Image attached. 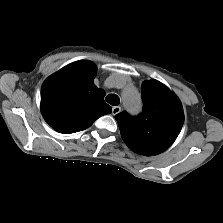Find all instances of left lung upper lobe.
Instances as JSON below:
<instances>
[{
	"mask_svg": "<svg viewBox=\"0 0 223 223\" xmlns=\"http://www.w3.org/2000/svg\"><path fill=\"white\" fill-rule=\"evenodd\" d=\"M143 110L136 117L127 112L115 116L121 136L134 152L151 156L165 151L177 138L184 122L178 98L157 80L144 81L141 87Z\"/></svg>",
	"mask_w": 223,
	"mask_h": 223,
	"instance_id": "obj_1",
	"label": "left lung upper lobe"
}]
</instances>
